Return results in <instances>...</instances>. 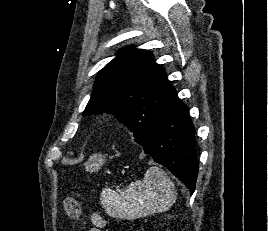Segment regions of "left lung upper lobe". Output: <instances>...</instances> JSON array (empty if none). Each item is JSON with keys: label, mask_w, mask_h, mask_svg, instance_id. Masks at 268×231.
Returning a JSON list of instances; mask_svg holds the SVG:
<instances>
[{"label": "left lung upper lobe", "mask_w": 268, "mask_h": 231, "mask_svg": "<svg viewBox=\"0 0 268 231\" xmlns=\"http://www.w3.org/2000/svg\"><path fill=\"white\" fill-rule=\"evenodd\" d=\"M177 100L176 90L152 53L127 46L97 75L83 115L114 113L138 140Z\"/></svg>", "instance_id": "left-lung-upper-lobe-1"}]
</instances>
